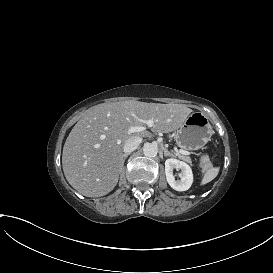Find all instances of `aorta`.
<instances>
[{
	"instance_id": "aorta-1",
	"label": "aorta",
	"mask_w": 273,
	"mask_h": 273,
	"mask_svg": "<svg viewBox=\"0 0 273 273\" xmlns=\"http://www.w3.org/2000/svg\"><path fill=\"white\" fill-rule=\"evenodd\" d=\"M143 152H144V155L146 157L152 158V157H155L157 155L158 148L153 143H147V144L144 145Z\"/></svg>"
}]
</instances>
